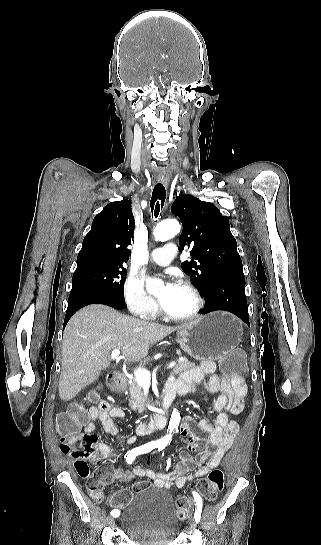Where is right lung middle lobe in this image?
Listing matches in <instances>:
<instances>
[{
    "mask_svg": "<svg viewBox=\"0 0 321 545\" xmlns=\"http://www.w3.org/2000/svg\"><path fill=\"white\" fill-rule=\"evenodd\" d=\"M126 269L123 265H87L76 268L72 277V290H97L124 297Z\"/></svg>",
    "mask_w": 321,
    "mask_h": 545,
    "instance_id": "obj_1",
    "label": "right lung middle lobe"
}]
</instances>
